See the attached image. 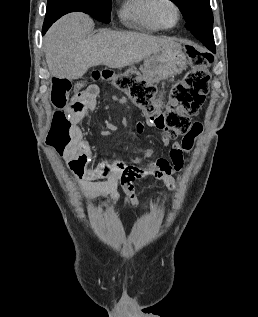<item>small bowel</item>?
I'll use <instances>...</instances> for the list:
<instances>
[{
    "instance_id": "obj_1",
    "label": "small bowel",
    "mask_w": 258,
    "mask_h": 317,
    "mask_svg": "<svg viewBox=\"0 0 258 317\" xmlns=\"http://www.w3.org/2000/svg\"><path fill=\"white\" fill-rule=\"evenodd\" d=\"M97 89L90 86L74 97L66 108L74 122L84 119L96 108ZM144 123L136 125V132L142 133ZM202 125L195 122L191 130L180 140L172 144L170 159L158 158L155 161H145L140 166L128 165L122 161L98 160L94 147L84 137L83 132L75 127V135L71 144L61 154L68 161L70 170L83 195L96 200L101 207L114 204L122 191L130 203L138 205L133 182L152 176L163 180L170 190L176 188L173 176L180 173L189 161L197 137L202 132ZM162 145H169V138L161 133Z\"/></svg>"
}]
</instances>
